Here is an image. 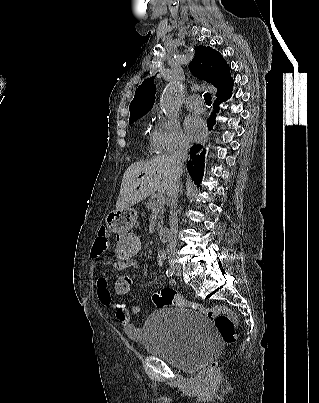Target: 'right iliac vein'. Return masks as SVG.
<instances>
[{"mask_svg":"<svg viewBox=\"0 0 319 403\" xmlns=\"http://www.w3.org/2000/svg\"><path fill=\"white\" fill-rule=\"evenodd\" d=\"M172 268L177 274H181V268L179 266L173 265Z\"/></svg>","mask_w":319,"mask_h":403,"instance_id":"obj_1","label":"right iliac vein"}]
</instances>
